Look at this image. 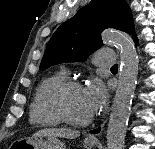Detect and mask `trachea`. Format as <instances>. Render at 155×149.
<instances>
[{
    "label": "trachea",
    "mask_w": 155,
    "mask_h": 149,
    "mask_svg": "<svg viewBox=\"0 0 155 149\" xmlns=\"http://www.w3.org/2000/svg\"><path fill=\"white\" fill-rule=\"evenodd\" d=\"M111 69H118V65L115 64L114 66L111 67Z\"/></svg>",
    "instance_id": "3493384b"
}]
</instances>
